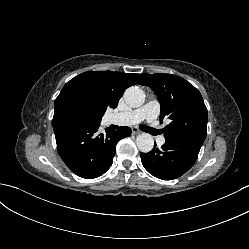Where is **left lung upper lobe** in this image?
I'll list each match as a JSON object with an SVG mask.
<instances>
[{
    "label": "left lung upper lobe",
    "instance_id": "left-lung-upper-lobe-1",
    "mask_svg": "<svg viewBox=\"0 0 249 249\" xmlns=\"http://www.w3.org/2000/svg\"><path fill=\"white\" fill-rule=\"evenodd\" d=\"M141 85L149 86L157 95L161 105L160 122L164 118L171 120L164 129L165 141L185 140L202 146L208 112L200 92L172 74H145Z\"/></svg>",
    "mask_w": 249,
    "mask_h": 249
}]
</instances>
